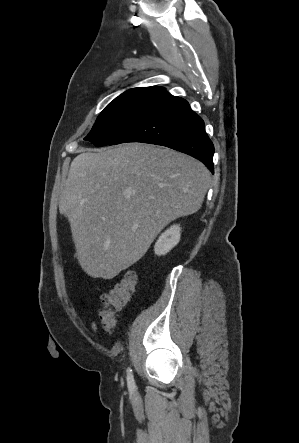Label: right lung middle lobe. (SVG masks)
Listing matches in <instances>:
<instances>
[{
  "mask_svg": "<svg viewBox=\"0 0 299 443\" xmlns=\"http://www.w3.org/2000/svg\"><path fill=\"white\" fill-rule=\"evenodd\" d=\"M165 92L162 87L130 89L109 103L84 138L97 147L116 140L142 112Z\"/></svg>",
  "mask_w": 299,
  "mask_h": 443,
  "instance_id": "1",
  "label": "right lung middle lobe"
}]
</instances>
